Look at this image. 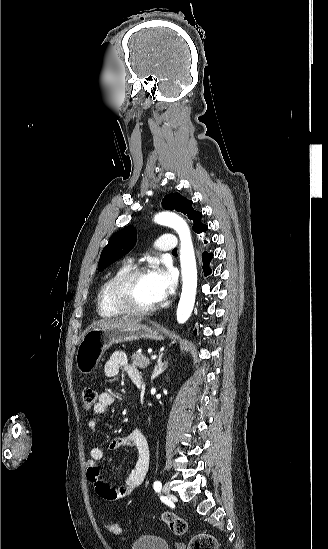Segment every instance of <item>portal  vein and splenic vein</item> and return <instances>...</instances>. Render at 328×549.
I'll list each match as a JSON object with an SVG mask.
<instances>
[{
	"instance_id": "obj_1",
	"label": "portal vein and splenic vein",
	"mask_w": 328,
	"mask_h": 549,
	"mask_svg": "<svg viewBox=\"0 0 328 549\" xmlns=\"http://www.w3.org/2000/svg\"><path fill=\"white\" fill-rule=\"evenodd\" d=\"M156 357V354H153V356H151V359H155Z\"/></svg>"
}]
</instances>
